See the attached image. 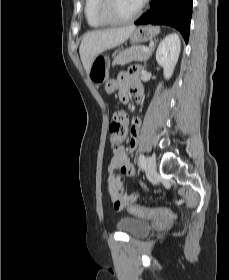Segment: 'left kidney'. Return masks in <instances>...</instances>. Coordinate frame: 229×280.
I'll use <instances>...</instances> for the list:
<instances>
[{"mask_svg":"<svg viewBox=\"0 0 229 280\" xmlns=\"http://www.w3.org/2000/svg\"><path fill=\"white\" fill-rule=\"evenodd\" d=\"M181 50V41L176 33L167 35L156 51L157 63L163 68L164 77L170 79Z\"/></svg>","mask_w":229,"mask_h":280,"instance_id":"1","label":"left kidney"}]
</instances>
